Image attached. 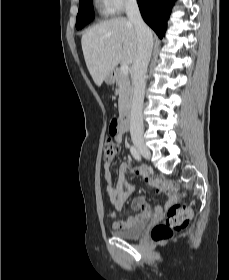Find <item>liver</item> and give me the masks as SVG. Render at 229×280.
Listing matches in <instances>:
<instances>
[{"label":"liver","instance_id":"1","mask_svg":"<svg viewBox=\"0 0 229 280\" xmlns=\"http://www.w3.org/2000/svg\"><path fill=\"white\" fill-rule=\"evenodd\" d=\"M81 44L89 73L100 87L106 75L113 72L119 63L134 62L138 36L133 23L118 17L88 29L82 36Z\"/></svg>","mask_w":229,"mask_h":280}]
</instances>
